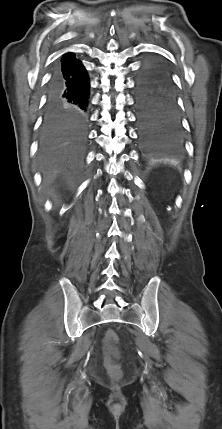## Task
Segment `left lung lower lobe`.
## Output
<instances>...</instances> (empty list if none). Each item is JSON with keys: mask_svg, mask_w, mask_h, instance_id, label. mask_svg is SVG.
Segmentation results:
<instances>
[{"mask_svg": "<svg viewBox=\"0 0 222 429\" xmlns=\"http://www.w3.org/2000/svg\"><path fill=\"white\" fill-rule=\"evenodd\" d=\"M135 108L141 147L146 155L177 151L183 140L177 93L168 67L143 62L135 82Z\"/></svg>", "mask_w": 222, "mask_h": 429, "instance_id": "left-lung-lower-lobe-1", "label": "left lung lower lobe"}]
</instances>
